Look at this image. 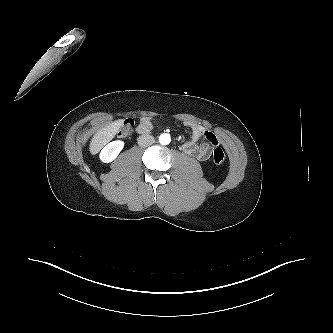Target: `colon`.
I'll use <instances>...</instances> for the list:
<instances>
[{"instance_id":"1","label":"colon","mask_w":333,"mask_h":333,"mask_svg":"<svg viewBox=\"0 0 333 333\" xmlns=\"http://www.w3.org/2000/svg\"><path fill=\"white\" fill-rule=\"evenodd\" d=\"M134 127V121L129 119L124 122L122 127L119 130L118 135L120 137H128L132 134ZM212 161L215 165H221L225 161V154L223 150L219 147H216L212 153Z\"/></svg>"}]
</instances>
